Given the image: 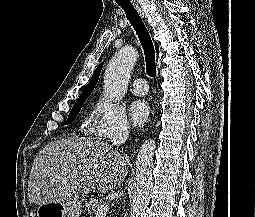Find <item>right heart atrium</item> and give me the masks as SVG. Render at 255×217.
Masks as SVG:
<instances>
[{
	"mask_svg": "<svg viewBox=\"0 0 255 217\" xmlns=\"http://www.w3.org/2000/svg\"><path fill=\"white\" fill-rule=\"evenodd\" d=\"M129 128L125 109L117 103L100 98L95 104L87 132L97 137L115 139L127 135Z\"/></svg>",
	"mask_w": 255,
	"mask_h": 217,
	"instance_id": "right-heart-atrium-1",
	"label": "right heart atrium"
}]
</instances>
